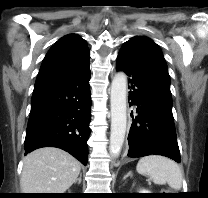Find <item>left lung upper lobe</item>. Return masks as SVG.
I'll return each mask as SVG.
<instances>
[{"instance_id":"5c2ea615","label":"left lung upper lobe","mask_w":208,"mask_h":198,"mask_svg":"<svg viewBox=\"0 0 208 198\" xmlns=\"http://www.w3.org/2000/svg\"><path fill=\"white\" fill-rule=\"evenodd\" d=\"M132 40H140L142 41V48L146 52L147 56L151 60L156 72L160 76L163 83H165L168 87H170V78L168 74L167 65L165 63V59L163 54L156 43L146 37H134L130 39Z\"/></svg>"}]
</instances>
